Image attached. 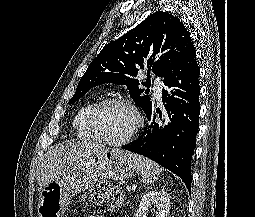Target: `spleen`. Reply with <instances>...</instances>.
<instances>
[{"mask_svg":"<svg viewBox=\"0 0 255 217\" xmlns=\"http://www.w3.org/2000/svg\"><path fill=\"white\" fill-rule=\"evenodd\" d=\"M130 157L132 158L137 170L141 172L142 181L145 184H149L157 180L163 171L157 163L141 155L130 153Z\"/></svg>","mask_w":255,"mask_h":217,"instance_id":"spleen-1","label":"spleen"}]
</instances>
